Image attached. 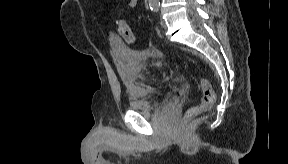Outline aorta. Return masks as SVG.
Returning <instances> with one entry per match:
<instances>
[{"label": "aorta", "instance_id": "obj_1", "mask_svg": "<svg viewBox=\"0 0 288 164\" xmlns=\"http://www.w3.org/2000/svg\"><path fill=\"white\" fill-rule=\"evenodd\" d=\"M149 4L151 8H154V10H157V8H159V0H149Z\"/></svg>", "mask_w": 288, "mask_h": 164}]
</instances>
